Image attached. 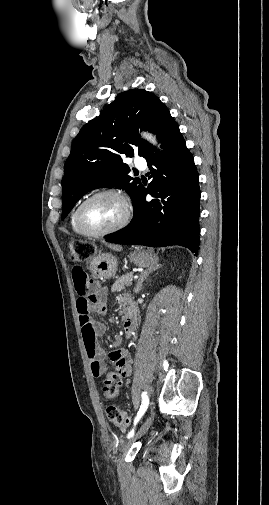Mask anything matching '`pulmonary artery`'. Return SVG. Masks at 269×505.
Masks as SVG:
<instances>
[{
	"label": "pulmonary artery",
	"mask_w": 269,
	"mask_h": 505,
	"mask_svg": "<svg viewBox=\"0 0 269 505\" xmlns=\"http://www.w3.org/2000/svg\"><path fill=\"white\" fill-rule=\"evenodd\" d=\"M134 164L135 166L140 169V170H145L147 165H146V161L142 158H137L135 161H134Z\"/></svg>",
	"instance_id": "obj_1"
}]
</instances>
